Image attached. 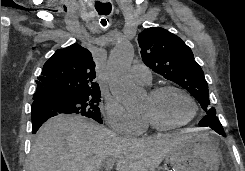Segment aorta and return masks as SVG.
Segmentation results:
<instances>
[{
  "instance_id": "obj_1",
  "label": "aorta",
  "mask_w": 245,
  "mask_h": 171,
  "mask_svg": "<svg viewBox=\"0 0 245 171\" xmlns=\"http://www.w3.org/2000/svg\"><path fill=\"white\" fill-rule=\"evenodd\" d=\"M134 50L127 40L119 41L107 60L106 74L112 94L117 97L128 111H141L145 93L129 79V70Z\"/></svg>"
}]
</instances>
